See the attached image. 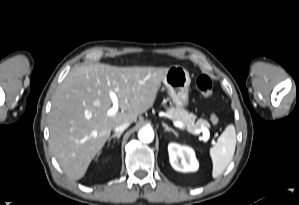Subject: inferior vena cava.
<instances>
[{
  "mask_svg": "<svg viewBox=\"0 0 299 205\" xmlns=\"http://www.w3.org/2000/svg\"><path fill=\"white\" fill-rule=\"evenodd\" d=\"M130 126V122H124V123H122V124H120V125H118V126H116L115 128H114V131L116 132V133H119V132H123L125 129H127L128 127Z\"/></svg>",
  "mask_w": 299,
  "mask_h": 205,
  "instance_id": "602c4592",
  "label": "inferior vena cava"
}]
</instances>
